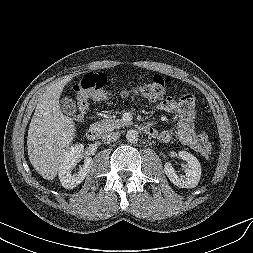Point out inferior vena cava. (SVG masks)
<instances>
[{
  "instance_id": "602c4592",
  "label": "inferior vena cava",
  "mask_w": 253,
  "mask_h": 253,
  "mask_svg": "<svg viewBox=\"0 0 253 253\" xmlns=\"http://www.w3.org/2000/svg\"><path fill=\"white\" fill-rule=\"evenodd\" d=\"M119 137H120V133L118 131L117 132L115 131V132L105 133L102 136V139L104 142L109 143V142L116 141Z\"/></svg>"
}]
</instances>
